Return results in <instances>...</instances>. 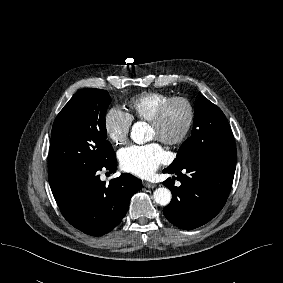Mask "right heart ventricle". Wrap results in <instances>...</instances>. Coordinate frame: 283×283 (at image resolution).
Here are the masks:
<instances>
[{"mask_svg": "<svg viewBox=\"0 0 283 283\" xmlns=\"http://www.w3.org/2000/svg\"><path fill=\"white\" fill-rule=\"evenodd\" d=\"M169 97V94L158 91L139 93L127 102L128 115L132 120L150 121L159 106Z\"/></svg>", "mask_w": 283, "mask_h": 283, "instance_id": "1", "label": "right heart ventricle"}]
</instances>
